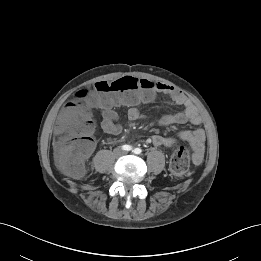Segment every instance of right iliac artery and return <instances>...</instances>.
<instances>
[{"mask_svg":"<svg viewBox=\"0 0 261 261\" xmlns=\"http://www.w3.org/2000/svg\"><path fill=\"white\" fill-rule=\"evenodd\" d=\"M122 149L125 150V151H130V150H132V146H130V145H123Z\"/></svg>","mask_w":261,"mask_h":261,"instance_id":"obj_1","label":"right iliac artery"}]
</instances>
